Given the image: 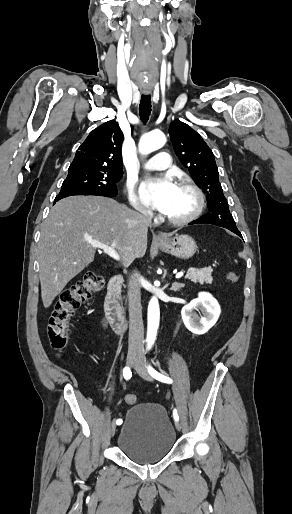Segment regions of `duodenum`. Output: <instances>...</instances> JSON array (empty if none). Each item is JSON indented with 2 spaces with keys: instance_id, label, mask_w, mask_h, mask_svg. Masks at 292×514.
Returning a JSON list of instances; mask_svg holds the SVG:
<instances>
[{
  "instance_id": "410a0bca",
  "label": "duodenum",
  "mask_w": 292,
  "mask_h": 514,
  "mask_svg": "<svg viewBox=\"0 0 292 514\" xmlns=\"http://www.w3.org/2000/svg\"><path fill=\"white\" fill-rule=\"evenodd\" d=\"M123 281L124 278L121 274H115L110 278L105 302L108 322L112 328L118 331L125 328V317L120 303Z\"/></svg>"
}]
</instances>
